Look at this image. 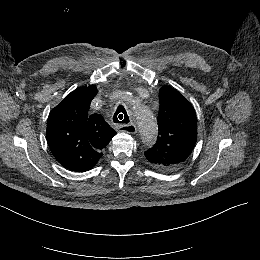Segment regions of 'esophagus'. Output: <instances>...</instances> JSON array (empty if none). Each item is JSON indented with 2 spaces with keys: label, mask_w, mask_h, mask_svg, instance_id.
Here are the masks:
<instances>
[{
  "label": "esophagus",
  "mask_w": 260,
  "mask_h": 260,
  "mask_svg": "<svg viewBox=\"0 0 260 260\" xmlns=\"http://www.w3.org/2000/svg\"><path fill=\"white\" fill-rule=\"evenodd\" d=\"M118 129L121 132L129 133V134H135L137 131L135 124L132 122L125 125H120Z\"/></svg>",
  "instance_id": "34e87169"
}]
</instances>
